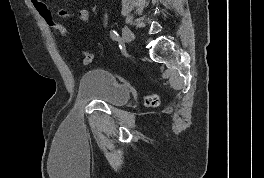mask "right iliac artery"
<instances>
[{"instance_id": "right-iliac-artery-1", "label": "right iliac artery", "mask_w": 264, "mask_h": 178, "mask_svg": "<svg viewBox=\"0 0 264 178\" xmlns=\"http://www.w3.org/2000/svg\"><path fill=\"white\" fill-rule=\"evenodd\" d=\"M110 37L112 38L113 41H119L120 40L119 34L115 30H112L110 32Z\"/></svg>"}]
</instances>
